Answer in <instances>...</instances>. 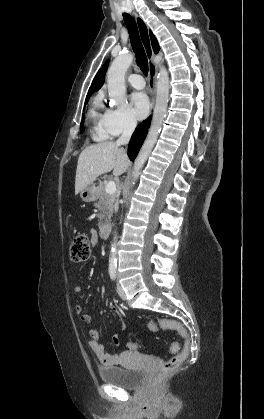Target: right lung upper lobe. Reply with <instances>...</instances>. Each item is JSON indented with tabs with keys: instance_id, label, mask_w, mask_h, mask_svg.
<instances>
[{
	"instance_id": "obj_1",
	"label": "right lung upper lobe",
	"mask_w": 264,
	"mask_h": 419,
	"mask_svg": "<svg viewBox=\"0 0 264 419\" xmlns=\"http://www.w3.org/2000/svg\"><path fill=\"white\" fill-rule=\"evenodd\" d=\"M149 35H150V38H151V42H152V47H153L154 53L157 54L159 52V50H160L158 41L155 38V36L153 35V33L151 32V30L149 31ZM108 64H109V60L106 61L105 64L99 69L98 73L96 74V76H95V78H94V80H93V82L91 84V87H90V89L88 91V94H87L86 99L87 98H90L91 94L94 91H96L97 89H99L102 86V84L104 83L105 74H106V71H107V68H108Z\"/></svg>"
}]
</instances>
